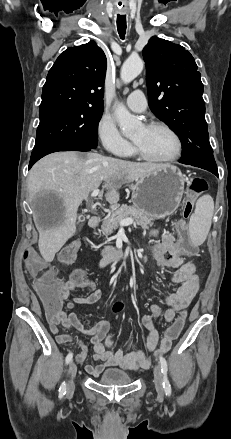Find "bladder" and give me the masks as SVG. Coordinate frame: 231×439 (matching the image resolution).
<instances>
[{
	"mask_svg": "<svg viewBox=\"0 0 231 439\" xmlns=\"http://www.w3.org/2000/svg\"><path fill=\"white\" fill-rule=\"evenodd\" d=\"M132 381L128 373L119 369H107L98 378V382L106 386H124Z\"/></svg>",
	"mask_w": 231,
	"mask_h": 439,
	"instance_id": "1",
	"label": "bladder"
}]
</instances>
